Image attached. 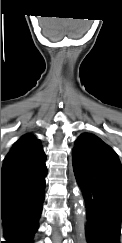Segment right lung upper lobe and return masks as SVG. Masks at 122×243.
I'll return each instance as SVG.
<instances>
[{
  "mask_svg": "<svg viewBox=\"0 0 122 243\" xmlns=\"http://www.w3.org/2000/svg\"><path fill=\"white\" fill-rule=\"evenodd\" d=\"M45 158L40 141L30 134L23 136L4 160L1 185L45 167Z\"/></svg>",
  "mask_w": 122,
  "mask_h": 243,
  "instance_id": "1",
  "label": "right lung upper lobe"
}]
</instances>
